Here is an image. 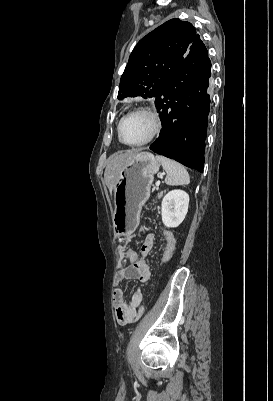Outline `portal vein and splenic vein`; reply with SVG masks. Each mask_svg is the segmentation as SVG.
<instances>
[{
  "mask_svg": "<svg viewBox=\"0 0 273 401\" xmlns=\"http://www.w3.org/2000/svg\"><path fill=\"white\" fill-rule=\"evenodd\" d=\"M161 174H165V172H161ZM157 182H158V184H156V186H159L160 180H157ZM156 186H154V188H156ZM154 188H153V190H154Z\"/></svg>",
  "mask_w": 273,
  "mask_h": 401,
  "instance_id": "obj_1",
  "label": "portal vein and splenic vein"
}]
</instances>
